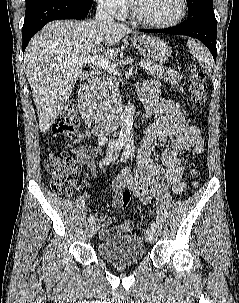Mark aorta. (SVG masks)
I'll use <instances>...</instances> for the list:
<instances>
[{
	"label": "aorta",
	"mask_w": 239,
	"mask_h": 303,
	"mask_svg": "<svg viewBox=\"0 0 239 303\" xmlns=\"http://www.w3.org/2000/svg\"><path fill=\"white\" fill-rule=\"evenodd\" d=\"M135 109L132 104H128L120 119V134L119 139L124 142H130L132 139L133 120H134Z\"/></svg>",
	"instance_id": "762f6f07"
}]
</instances>
